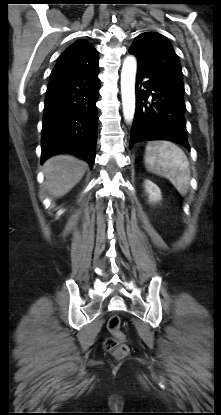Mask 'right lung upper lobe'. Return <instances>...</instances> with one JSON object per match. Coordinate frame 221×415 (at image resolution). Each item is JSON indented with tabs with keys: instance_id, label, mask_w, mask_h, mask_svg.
<instances>
[{
	"instance_id": "obj_1",
	"label": "right lung upper lobe",
	"mask_w": 221,
	"mask_h": 415,
	"mask_svg": "<svg viewBox=\"0 0 221 415\" xmlns=\"http://www.w3.org/2000/svg\"><path fill=\"white\" fill-rule=\"evenodd\" d=\"M98 63L99 57L96 49L91 44L79 40L59 56L50 78L96 70Z\"/></svg>"
}]
</instances>
